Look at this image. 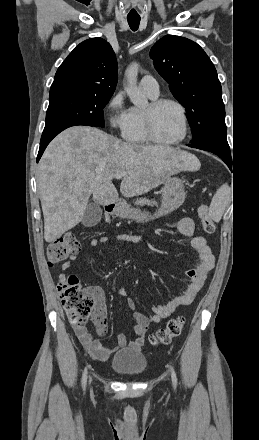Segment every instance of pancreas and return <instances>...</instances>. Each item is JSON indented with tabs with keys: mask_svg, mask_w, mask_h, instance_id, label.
Instances as JSON below:
<instances>
[{
	"mask_svg": "<svg viewBox=\"0 0 259 440\" xmlns=\"http://www.w3.org/2000/svg\"><path fill=\"white\" fill-rule=\"evenodd\" d=\"M136 205H140V206H144V205H148V206H157V202L153 201V200H149L147 198H139L135 201ZM109 221V220H108Z\"/></svg>",
	"mask_w": 259,
	"mask_h": 440,
	"instance_id": "1",
	"label": "pancreas"
}]
</instances>
